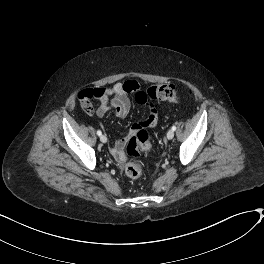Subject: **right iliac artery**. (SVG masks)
Instances as JSON below:
<instances>
[{
	"mask_svg": "<svg viewBox=\"0 0 264 264\" xmlns=\"http://www.w3.org/2000/svg\"><path fill=\"white\" fill-rule=\"evenodd\" d=\"M97 135L98 136H101L102 135V132L100 130H97Z\"/></svg>",
	"mask_w": 264,
	"mask_h": 264,
	"instance_id": "82829eb1",
	"label": "right iliac artery"
}]
</instances>
